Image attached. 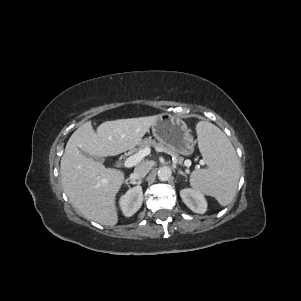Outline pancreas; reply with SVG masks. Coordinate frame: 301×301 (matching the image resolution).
Wrapping results in <instances>:
<instances>
[{
    "instance_id": "pancreas-1",
    "label": "pancreas",
    "mask_w": 301,
    "mask_h": 301,
    "mask_svg": "<svg viewBox=\"0 0 301 301\" xmlns=\"http://www.w3.org/2000/svg\"><path fill=\"white\" fill-rule=\"evenodd\" d=\"M146 147H154L155 149H158V150H162V151H165V152H169L170 154H172L175 158H176V161L179 162V163H182L183 162V158L182 157H179L177 155V153H175L174 151H172L170 148L166 147L165 145L161 144V143H157L155 140L153 139H150V138H146L144 140H142L140 143H139V148L140 149H144Z\"/></svg>"
}]
</instances>
